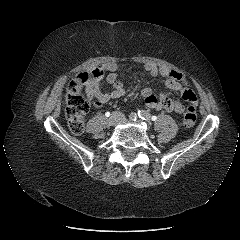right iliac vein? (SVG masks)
Masks as SVG:
<instances>
[{
    "label": "right iliac vein",
    "instance_id": "right-iliac-vein-1",
    "mask_svg": "<svg viewBox=\"0 0 240 240\" xmlns=\"http://www.w3.org/2000/svg\"><path fill=\"white\" fill-rule=\"evenodd\" d=\"M112 122H113V124H115V123H116V120L112 119Z\"/></svg>",
    "mask_w": 240,
    "mask_h": 240
}]
</instances>
